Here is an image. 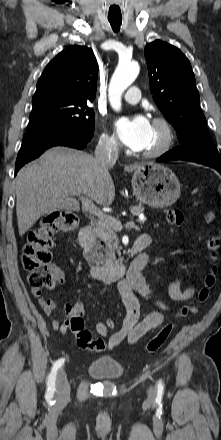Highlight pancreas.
<instances>
[{
	"label": "pancreas",
	"mask_w": 221,
	"mask_h": 440,
	"mask_svg": "<svg viewBox=\"0 0 221 440\" xmlns=\"http://www.w3.org/2000/svg\"><path fill=\"white\" fill-rule=\"evenodd\" d=\"M130 211L134 216H140L144 213V208L140 204L138 206L130 207ZM92 233L94 237L99 238L108 247L110 260L115 259V251H118V238L115 229L107 222L98 219L92 223Z\"/></svg>",
	"instance_id": "1"
}]
</instances>
